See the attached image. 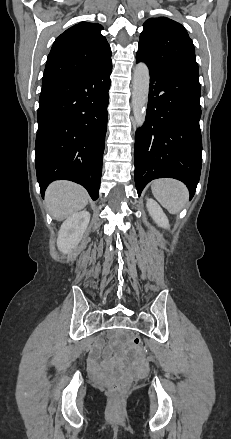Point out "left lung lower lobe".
<instances>
[{"label": "left lung lower lobe", "instance_id": "0a47b994", "mask_svg": "<svg viewBox=\"0 0 231 439\" xmlns=\"http://www.w3.org/2000/svg\"><path fill=\"white\" fill-rule=\"evenodd\" d=\"M143 61L136 55V62ZM150 71L147 115L135 135V184L138 195L153 179L184 182L193 197L202 164L198 73L145 62Z\"/></svg>", "mask_w": 231, "mask_h": 439}]
</instances>
